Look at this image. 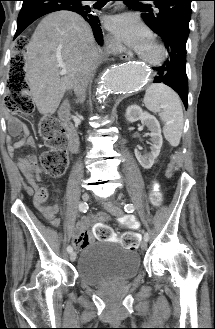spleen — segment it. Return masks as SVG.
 <instances>
[{
	"mask_svg": "<svg viewBox=\"0 0 215 329\" xmlns=\"http://www.w3.org/2000/svg\"><path fill=\"white\" fill-rule=\"evenodd\" d=\"M144 104L152 112H161L164 123L163 134L171 146L180 143L184 119L179 96L164 84H154L148 87L144 96Z\"/></svg>",
	"mask_w": 215,
	"mask_h": 329,
	"instance_id": "3e777b00",
	"label": "spleen"
}]
</instances>
